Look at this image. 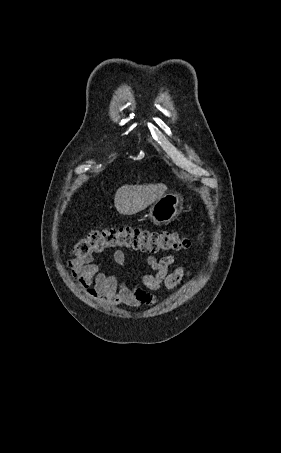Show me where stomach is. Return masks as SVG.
<instances>
[{"mask_svg": "<svg viewBox=\"0 0 281 453\" xmlns=\"http://www.w3.org/2000/svg\"><path fill=\"white\" fill-rule=\"evenodd\" d=\"M181 194L179 192H166L161 198H157L148 210V216L154 224H168L174 220L180 212Z\"/></svg>", "mask_w": 281, "mask_h": 453, "instance_id": "obj_1", "label": "stomach"}]
</instances>
